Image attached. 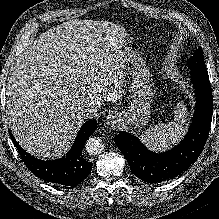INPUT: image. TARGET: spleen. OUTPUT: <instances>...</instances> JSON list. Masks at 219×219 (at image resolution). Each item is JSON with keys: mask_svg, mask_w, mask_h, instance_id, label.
I'll list each match as a JSON object with an SVG mask.
<instances>
[{"mask_svg": "<svg viewBox=\"0 0 219 219\" xmlns=\"http://www.w3.org/2000/svg\"><path fill=\"white\" fill-rule=\"evenodd\" d=\"M186 120V107L184 104L178 103L175 111V122H170L169 124L159 123L142 132L140 139L153 151L166 150L180 140L185 132L183 124Z\"/></svg>", "mask_w": 219, "mask_h": 219, "instance_id": "spleen-1", "label": "spleen"}]
</instances>
